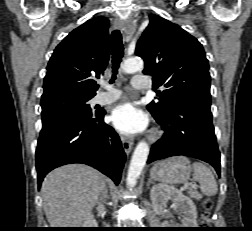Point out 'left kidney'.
<instances>
[{"label":"left kidney","mask_w":252,"mask_h":231,"mask_svg":"<svg viewBox=\"0 0 252 231\" xmlns=\"http://www.w3.org/2000/svg\"><path fill=\"white\" fill-rule=\"evenodd\" d=\"M152 206L157 214H164L168 200H172L182 214L181 228L197 227V210L193 201L179 190L167 185H155L150 191Z\"/></svg>","instance_id":"obj_1"}]
</instances>
